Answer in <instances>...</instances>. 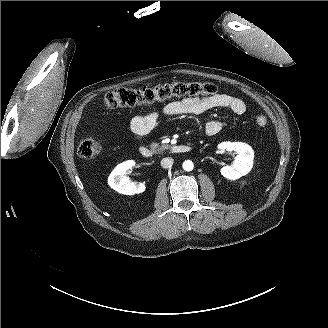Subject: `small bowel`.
Segmentation results:
<instances>
[{"instance_id": "small-bowel-1", "label": "small bowel", "mask_w": 328, "mask_h": 328, "mask_svg": "<svg viewBox=\"0 0 328 328\" xmlns=\"http://www.w3.org/2000/svg\"><path fill=\"white\" fill-rule=\"evenodd\" d=\"M217 108L229 109L237 115H241L246 111V105L243 100L228 94L186 97L166 104L160 112H150L134 116L130 120L128 130L133 137L142 138L154 130L161 115L202 114ZM222 128L223 123L221 121L210 120L206 123L205 132L209 136H214Z\"/></svg>"}]
</instances>
